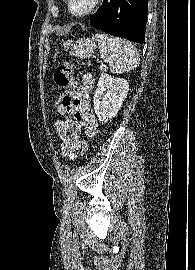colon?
Wrapping results in <instances>:
<instances>
[{
	"label": "colon",
	"instance_id": "colon-1",
	"mask_svg": "<svg viewBox=\"0 0 195 270\" xmlns=\"http://www.w3.org/2000/svg\"><path fill=\"white\" fill-rule=\"evenodd\" d=\"M54 81L55 83L62 88H69L70 90L62 93L54 102V108L57 109H65L69 108L76 97V82L72 77V67L69 63H63L54 73ZM80 149L83 154H85L88 150V143L86 140L80 141Z\"/></svg>",
	"mask_w": 195,
	"mask_h": 270
}]
</instances>
